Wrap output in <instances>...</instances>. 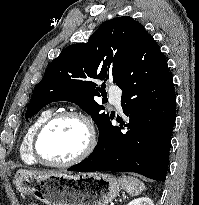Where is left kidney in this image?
Instances as JSON below:
<instances>
[{
	"mask_svg": "<svg viewBox=\"0 0 199 205\" xmlns=\"http://www.w3.org/2000/svg\"><path fill=\"white\" fill-rule=\"evenodd\" d=\"M127 205H154V204L150 198L142 197L130 201Z\"/></svg>",
	"mask_w": 199,
	"mask_h": 205,
	"instance_id": "obj_1",
	"label": "left kidney"
}]
</instances>
